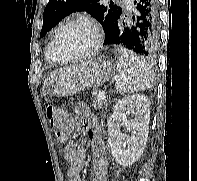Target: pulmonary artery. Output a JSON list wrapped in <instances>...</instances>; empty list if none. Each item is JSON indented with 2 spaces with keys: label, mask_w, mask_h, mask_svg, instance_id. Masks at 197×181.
<instances>
[{
  "label": "pulmonary artery",
  "mask_w": 197,
  "mask_h": 181,
  "mask_svg": "<svg viewBox=\"0 0 197 181\" xmlns=\"http://www.w3.org/2000/svg\"><path fill=\"white\" fill-rule=\"evenodd\" d=\"M125 4H126V7L129 8V9H132L133 8V2L132 0H126L125 1Z\"/></svg>",
  "instance_id": "1"
}]
</instances>
